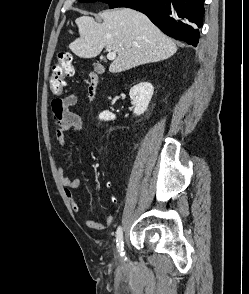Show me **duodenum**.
Returning <instances> with one entry per match:
<instances>
[{
    "mask_svg": "<svg viewBox=\"0 0 249 294\" xmlns=\"http://www.w3.org/2000/svg\"><path fill=\"white\" fill-rule=\"evenodd\" d=\"M99 76L98 74L92 72L89 76V84H88V97L91 100H94L99 88Z\"/></svg>",
    "mask_w": 249,
    "mask_h": 294,
    "instance_id": "duodenum-1",
    "label": "duodenum"
}]
</instances>
